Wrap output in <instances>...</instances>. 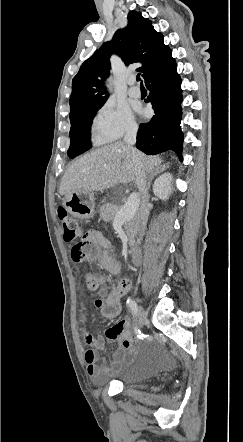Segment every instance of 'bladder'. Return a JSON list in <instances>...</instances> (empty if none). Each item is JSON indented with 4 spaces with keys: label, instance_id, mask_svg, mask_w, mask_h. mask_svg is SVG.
I'll return each instance as SVG.
<instances>
[{
    "label": "bladder",
    "instance_id": "31cf9c89",
    "mask_svg": "<svg viewBox=\"0 0 243 442\" xmlns=\"http://www.w3.org/2000/svg\"><path fill=\"white\" fill-rule=\"evenodd\" d=\"M153 374L151 361L143 354L136 353L116 369L114 380L126 387L142 390Z\"/></svg>",
    "mask_w": 243,
    "mask_h": 442
}]
</instances>
